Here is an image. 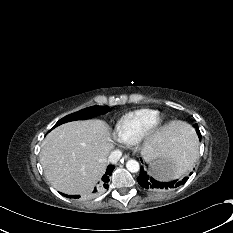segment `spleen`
I'll return each mask as SVG.
<instances>
[{"label":"spleen","mask_w":233,"mask_h":233,"mask_svg":"<svg viewBox=\"0 0 233 233\" xmlns=\"http://www.w3.org/2000/svg\"><path fill=\"white\" fill-rule=\"evenodd\" d=\"M196 151L197 140L194 137L192 128L186 124L182 141L175 149V155L172 160L173 164L177 167L176 177L183 173L185 169L190 168L194 164L196 159Z\"/></svg>","instance_id":"obj_1"}]
</instances>
